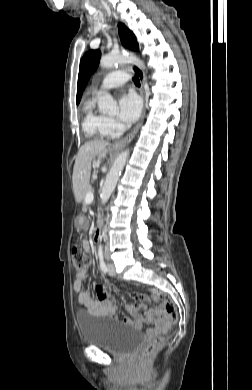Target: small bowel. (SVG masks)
Here are the masks:
<instances>
[{"instance_id":"c3829d8e","label":"small bowel","mask_w":252,"mask_h":390,"mask_svg":"<svg viewBox=\"0 0 252 390\" xmlns=\"http://www.w3.org/2000/svg\"><path fill=\"white\" fill-rule=\"evenodd\" d=\"M82 246L85 250H90V243L84 239ZM87 276V270L76 273L73 289L78 293V302L87 308L95 316H103L111 319L117 318V306L113 297L102 287L96 288V297H92L89 292L83 291V283ZM129 316L123 319V322L135 328H142L146 323H152L148 330L149 335H156L166 332L169 327V321L160 307L148 308L145 305H128ZM141 310L143 312H141Z\"/></svg>"}]
</instances>
